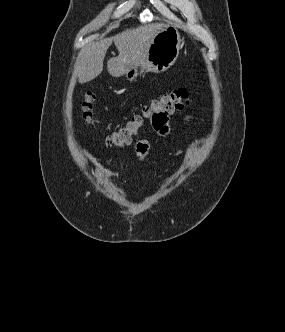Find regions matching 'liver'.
<instances>
[{"label":"liver","instance_id":"obj_1","mask_svg":"<svg viewBox=\"0 0 285 332\" xmlns=\"http://www.w3.org/2000/svg\"><path fill=\"white\" fill-rule=\"evenodd\" d=\"M165 27L166 24L150 23L88 45L79 54L75 64L79 83L92 81L101 74L107 49L112 42L119 54L107 62V70L111 76L121 77L130 69L142 65L154 37Z\"/></svg>","mask_w":285,"mask_h":332}]
</instances>
